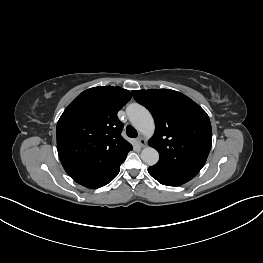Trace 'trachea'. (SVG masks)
Listing matches in <instances>:
<instances>
[{
  "mask_svg": "<svg viewBox=\"0 0 263 263\" xmlns=\"http://www.w3.org/2000/svg\"><path fill=\"white\" fill-rule=\"evenodd\" d=\"M126 133L130 138H136L138 136L136 129L130 125L127 126Z\"/></svg>",
  "mask_w": 263,
  "mask_h": 263,
  "instance_id": "3493384b",
  "label": "trachea"
}]
</instances>
